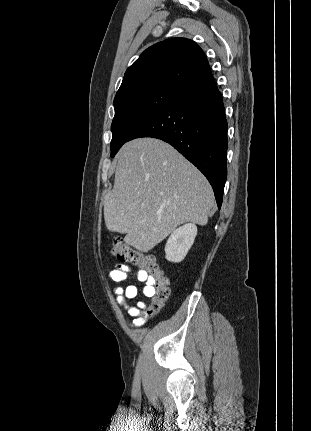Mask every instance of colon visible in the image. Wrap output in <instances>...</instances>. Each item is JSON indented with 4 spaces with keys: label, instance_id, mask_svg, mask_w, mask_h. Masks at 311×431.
<instances>
[{
    "label": "colon",
    "instance_id": "5ec220e1",
    "mask_svg": "<svg viewBox=\"0 0 311 431\" xmlns=\"http://www.w3.org/2000/svg\"><path fill=\"white\" fill-rule=\"evenodd\" d=\"M113 254L121 262H130L145 270L151 278L153 293L147 313L154 315L159 312L170 294L169 279L159 267L155 257L149 253H139L115 239L112 248Z\"/></svg>",
    "mask_w": 311,
    "mask_h": 431
}]
</instances>
